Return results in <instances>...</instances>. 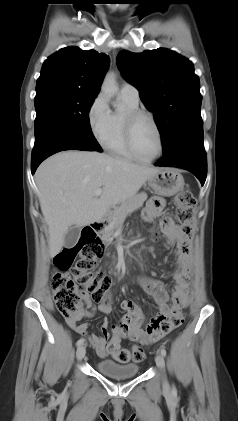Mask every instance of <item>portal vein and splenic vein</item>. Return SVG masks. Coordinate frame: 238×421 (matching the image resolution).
Masks as SVG:
<instances>
[{
	"label": "portal vein and splenic vein",
	"mask_w": 238,
	"mask_h": 421,
	"mask_svg": "<svg viewBox=\"0 0 238 421\" xmlns=\"http://www.w3.org/2000/svg\"><path fill=\"white\" fill-rule=\"evenodd\" d=\"M102 194V189H98L95 191L94 196L97 198Z\"/></svg>",
	"instance_id": "obj_1"
}]
</instances>
